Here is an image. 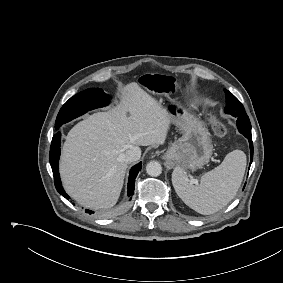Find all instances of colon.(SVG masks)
I'll list each match as a JSON object with an SVG mask.
<instances>
[{
	"label": "colon",
	"instance_id": "colon-1",
	"mask_svg": "<svg viewBox=\"0 0 283 283\" xmlns=\"http://www.w3.org/2000/svg\"><path fill=\"white\" fill-rule=\"evenodd\" d=\"M140 84L156 94H166L175 89L174 80L161 75H145L141 78ZM212 127L218 136H224L227 133L226 125L216 116L212 118Z\"/></svg>",
	"mask_w": 283,
	"mask_h": 283
}]
</instances>
